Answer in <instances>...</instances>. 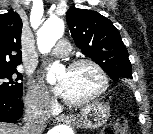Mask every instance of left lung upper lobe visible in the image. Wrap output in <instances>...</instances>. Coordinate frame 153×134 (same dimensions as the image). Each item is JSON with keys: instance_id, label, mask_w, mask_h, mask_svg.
<instances>
[{"instance_id": "obj_1", "label": "left lung upper lobe", "mask_w": 153, "mask_h": 134, "mask_svg": "<svg viewBox=\"0 0 153 134\" xmlns=\"http://www.w3.org/2000/svg\"><path fill=\"white\" fill-rule=\"evenodd\" d=\"M67 21L77 47L97 62L111 79H132L126 46L109 19L96 11L71 7Z\"/></svg>"}]
</instances>
